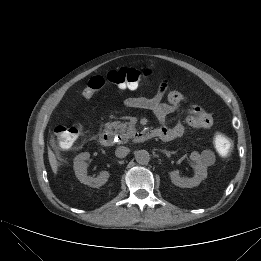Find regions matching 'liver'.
<instances>
[{"label":"liver","instance_id":"obj_1","mask_svg":"<svg viewBox=\"0 0 261 261\" xmlns=\"http://www.w3.org/2000/svg\"><path fill=\"white\" fill-rule=\"evenodd\" d=\"M48 158H49V163L51 166V169L54 174H57L58 171V161L56 159L55 154L52 152L50 148H48Z\"/></svg>","mask_w":261,"mask_h":261}]
</instances>
